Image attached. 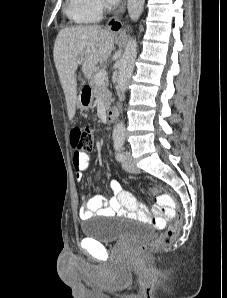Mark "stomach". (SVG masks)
<instances>
[{
    "label": "stomach",
    "instance_id": "obj_1",
    "mask_svg": "<svg viewBox=\"0 0 227 298\" xmlns=\"http://www.w3.org/2000/svg\"><path fill=\"white\" fill-rule=\"evenodd\" d=\"M93 93L90 89L84 88L81 90L77 100V108L82 111H88L92 107Z\"/></svg>",
    "mask_w": 227,
    "mask_h": 298
}]
</instances>
